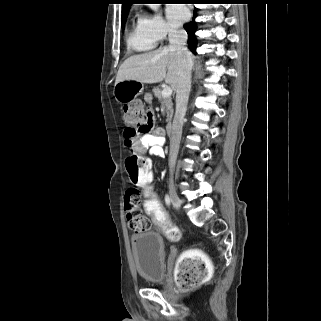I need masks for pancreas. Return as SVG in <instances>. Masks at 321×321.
I'll return each instance as SVG.
<instances>
[{
    "mask_svg": "<svg viewBox=\"0 0 321 321\" xmlns=\"http://www.w3.org/2000/svg\"><path fill=\"white\" fill-rule=\"evenodd\" d=\"M154 95L159 102L164 105L167 114L166 122H170L173 116V103L171 97H163L162 90L159 87L154 89Z\"/></svg>",
    "mask_w": 321,
    "mask_h": 321,
    "instance_id": "1",
    "label": "pancreas"
}]
</instances>
